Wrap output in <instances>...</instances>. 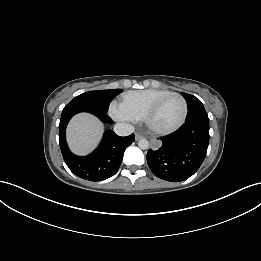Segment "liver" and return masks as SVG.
Here are the masks:
<instances>
[{"instance_id":"obj_1","label":"liver","mask_w":261,"mask_h":261,"mask_svg":"<svg viewBox=\"0 0 261 261\" xmlns=\"http://www.w3.org/2000/svg\"><path fill=\"white\" fill-rule=\"evenodd\" d=\"M103 125L93 115L80 113L72 118L67 128V140L71 150L79 155L91 152L99 143Z\"/></svg>"}]
</instances>
